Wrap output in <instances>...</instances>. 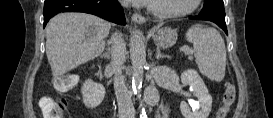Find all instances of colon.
I'll use <instances>...</instances> for the list:
<instances>
[{
  "mask_svg": "<svg viewBox=\"0 0 273 118\" xmlns=\"http://www.w3.org/2000/svg\"><path fill=\"white\" fill-rule=\"evenodd\" d=\"M59 86L62 88L72 87L71 80H59ZM236 96L235 88L232 84H228L223 96L222 104L218 109L216 118H225ZM40 110L44 118H62L65 110V101L59 97L46 96L40 100Z\"/></svg>",
  "mask_w": 273,
  "mask_h": 118,
  "instance_id": "colon-1",
  "label": "colon"
}]
</instances>
